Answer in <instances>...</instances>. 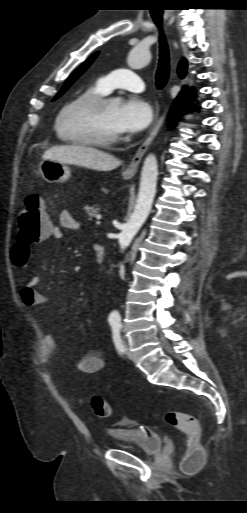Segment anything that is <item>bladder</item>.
<instances>
[{"label":"bladder","mask_w":247,"mask_h":513,"mask_svg":"<svg viewBox=\"0 0 247 513\" xmlns=\"http://www.w3.org/2000/svg\"><path fill=\"white\" fill-rule=\"evenodd\" d=\"M112 438L110 448L137 451L154 455L161 451L163 438L139 428H119L108 431Z\"/></svg>","instance_id":"bladder-1"}]
</instances>
